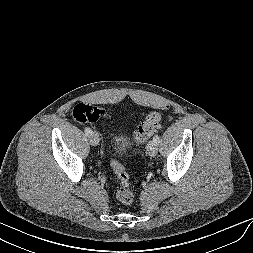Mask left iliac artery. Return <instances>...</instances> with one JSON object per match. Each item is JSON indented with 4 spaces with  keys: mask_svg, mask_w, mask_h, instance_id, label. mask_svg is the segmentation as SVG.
Masks as SVG:
<instances>
[{
    "mask_svg": "<svg viewBox=\"0 0 253 253\" xmlns=\"http://www.w3.org/2000/svg\"><path fill=\"white\" fill-rule=\"evenodd\" d=\"M153 142H155L156 144H159L160 143V137L158 135H155L153 137Z\"/></svg>",
    "mask_w": 253,
    "mask_h": 253,
    "instance_id": "obj_1",
    "label": "left iliac artery"
}]
</instances>
